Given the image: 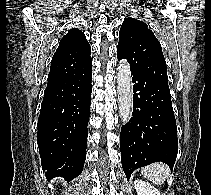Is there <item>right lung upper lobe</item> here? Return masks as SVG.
Instances as JSON below:
<instances>
[{
	"mask_svg": "<svg viewBox=\"0 0 211 195\" xmlns=\"http://www.w3.org/2000/svg\"><path fill=\"white\" fill-rule=\"evenodd\" d=\"M91 48L85 35L72 28L63 36L52 58L48 80L83 70L92 63Z\"/></svg>",
	"mask_w": 211,
	"mask_h": 195,
	"instance_id": "obj_1",
	"label": "right lung upper lobe"
}]
</instances>
